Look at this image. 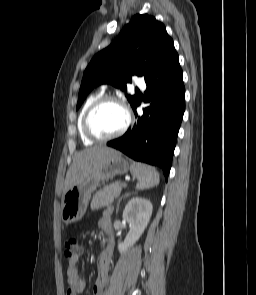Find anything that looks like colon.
I'll return each mask as SVG.
<instances>
[{"label": "colon", "instance_id": "1", "mask_svg": "<svg viewBox=\"0 0 256 295\" xmlns=\"http://www.w3.org/2000/svg\"><path fill=\"white\" fill-rule=\"evenodd\" d=\"M80 252H81V245L77 238L70 237L65 240L64 252H63L64 259L68 261H72L78 258Z\"/></svg>", "mask_w": 256, "mask_h": 295}]
</instances>
